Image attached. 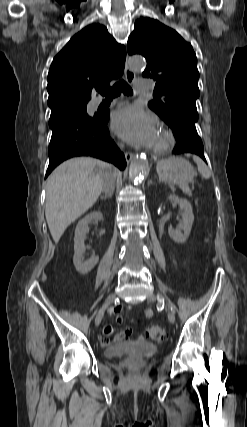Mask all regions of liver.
Listing matches in <instances>:
<instances>
[{
	"mask_svg": "<svg viewBox=\"0 0 247 427\" xmlns=\"http://www.w3.org/2000/svg\"><path fill=\"white\" fill-rule=\"evenodd\" d=\"M112 167L90 157L72 158L59 165L47 179L45 216L51 236L58 243L67 227L97 201L105 176Z\"/></svg>",
	"mask_w": 247,
	"mask_h": 427,
	"instance_id": "obj_1",
	"label": "liver"
}]
</instances>
